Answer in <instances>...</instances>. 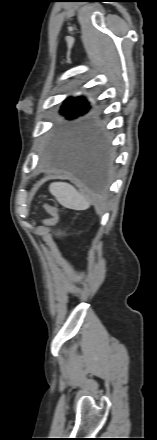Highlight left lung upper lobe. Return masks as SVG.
<instances>
[{"instance_id": "5c2ea615", "label": "left lung upper lobe", "mask_w": 157, "mask_h": 440, "mask_svg": "<svg viewBox=\"0 0 157 440\" xmlns=\"http://www.w3.org/2000/svg\"><path fill=\"white\" fill-rule=\"evenodd\" d=\"M82 98H70L64 102L61 107V113L66 115L68 118H75L77 116L83 115L89 109L88 103ZM101 132V127L98 122L90 120L86 121L78 127L75 132L76 137H81L88 135L90 133Z\"/></svg>"}]
</instances>
